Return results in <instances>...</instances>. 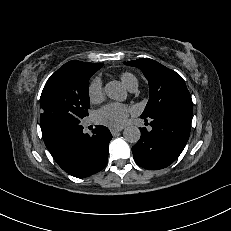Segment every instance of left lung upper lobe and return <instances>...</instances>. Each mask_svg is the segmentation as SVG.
Returning a JSON list of instances; mask_svg holds the SVG:
<instances>
[{"instance_id":"obj_1","label":"left lung upper lobe","mask_w":231,"mask_h":231,"mask_svg":"<svg viewBox=\"0 0 231 231\" xmlns=\"http://www.w3.org/2000/svg\"><path fill=\"white\" fill-rule=\"evenodd\" d=\"M124 64L139 68L149 83L150 97L141 118H148L169 107L192 109V99L186 84L175 71L148 58Z\"/></svg>"}]
</instances>
